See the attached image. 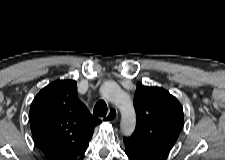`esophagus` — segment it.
<instances>
[{
    "label": "esophagus",
    "instance_id": "obj_1",
    "mask_svg": "<svg viewBox=\"0 0 225 160\" xmlns=\"http://www.w3.org/2000/svg\"><path fill=\"white\" fill-rule=\"evenodd\" d=\"M109 122H115L118 118V111L116 108H111L105 117Z\"/></svg>",
    "mask_w": 225,
    "mask_h": 160
}]
</instances>
